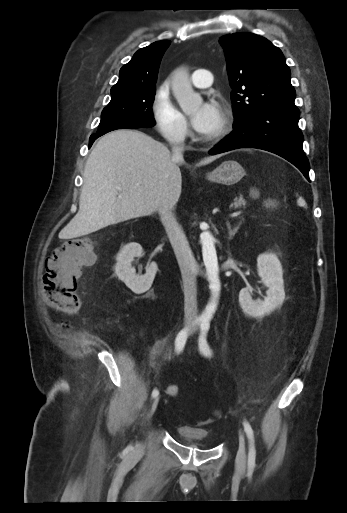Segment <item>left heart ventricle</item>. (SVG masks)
Returning <instances> with one entry per match:
<instances>
[{"label":"left heart ventricle","mask_w":347,"mask_h":513,"mask_svg":"<svg viewBox=\"0 0 347 513\" xmlns=\"http://www.w3.org/2000/svg\"><path fill=\"white\" fill-rule=\"evenodd\" d=\"M198 109H199V108H198ZM198 109H197V110H198ZM197 110H196V111H197ZM221 123H222V120H221V122H220V123H219V124H218L214 129H213V130H211L210 132H208V133H206V134H203V136H204V137H209V136H212L213 134H215V133L219 130V128H220V126H221Z\"/></svg>","instance_id":"1"}]
</instances>
